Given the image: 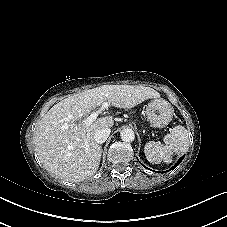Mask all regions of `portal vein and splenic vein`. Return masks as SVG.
I'll use <instances>...</instances> for the list:
<instances>
[{"label": "portal vein and splenic vein", "mask_w": 227, "mask_h": 227, "mask_svg": "<svg viewBox=\"0 0 227 227\" xmlns=\"http://www.w3.org/2000/svg\"><path fill=\"white\" fill-rule=\"evenodd\" d=\"M105 108H108V104L107 103H104L102 105V107L98 110V111H95V112H92L87 118L86 120L84 121L86 124H90L92 123L94 120L97 119L98 115L102 113V111L105 109Z\"/></svg>", "instance_id": "1"}]
</instances>
